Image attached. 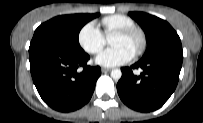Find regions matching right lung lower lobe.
I'll use <instances>...</instances> for the list:
<instances>
[{
    "label": "right lung lower lobe",
    "mask_w": 203,
    "mask_h": 123,
    "mask_svg": "<svg viewBox=\"0 0 203 123\" xmlns=\"http://www.w3.org/2000/svg\"><path fill=\"white\" fill-rule=\"evenodd\" d=\"M89 58L83 50L67 51L40 44L30 45L32 79L48 106L60 112H70L90 100L101 69L99 66H87Z\"/></svg>",
    "instance_id": "1"
}]
</instances>
